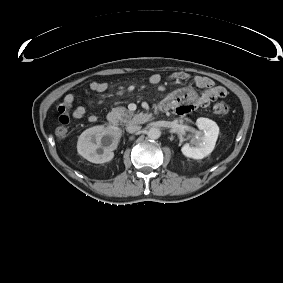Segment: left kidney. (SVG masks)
<instances>
[{"instance_id":"5707ae66","label":"left kidney","mask_w":283,"mask_h":283,"mask_svg":"<svg viewBox=\"0 0 283 283\" xmlns=\"http://www.w3.org/2000/svg\"><path fill=\"white\" fill-rule=\"evenodd\" d=\"M197 127L203 131L193 140L195 146L184 144L181 148L183 155L193 159H203L213 150L219 135V127L213 120L200 117L196 121Z\"/></svg>"}]
</instances>
